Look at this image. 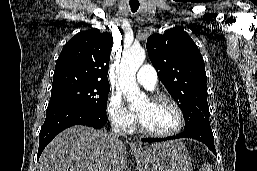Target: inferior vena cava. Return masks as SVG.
<instances>
[{
  "instance_id": "obj_1",
  "label": "inferior vena cava",
  "mask_w": 257,
  "mask_h": 171,
  "mask_svg": "<svg viewBox=\"0 0 257 171\" xmlns=\"http://www.w3.org/2000/svg\"><path fill=\"white\" fill-rule=\"evenodd\" d=\"M112 132L116 135V136H120V135H125L124 132L121 131V129L119 128V126L116 123H112Z\"/></svg>"
}]
</instances>
